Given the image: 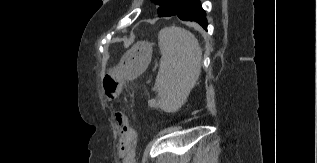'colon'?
Listing matches in <instances>:
<instances>
[{
    "instance_id": "5ec220e1",
    "label": "colon",
    "mask_w": 317,
    "mask_h": 163,
    "mask_svg": "<svg viewBox=\"0 0 317 163\" xmlns=\"http://www.w3.org/2000/svg\"><path fill=\"white\" fill-rule=\"evenodd\" d=\"M104 90L109 100H115L121 92L120 82L113 77H109L104 81Z\"/></svg>"
}]
</instances>
